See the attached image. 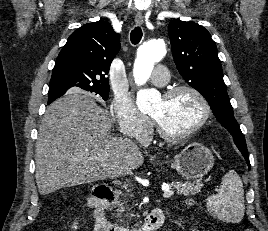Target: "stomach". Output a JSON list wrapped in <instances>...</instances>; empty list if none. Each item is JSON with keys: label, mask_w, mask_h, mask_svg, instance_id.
I'll return each mask as SVG.
<instances>
[{"label": "stomach", "mask_w": 268, "mask_h": 231, "mask_svg": "<svg viewBox=\"0 0 268 231\" xmlns=\"http://www.w3.org/2000/svg\"><path fill=\"white\" fill-rule=\"evenodd\" d=\"M214 165L212 152L200 143L187 145L171 162V168L185 179H200Z\"/></svg>", "instance_id": "1"}]
</instances>
